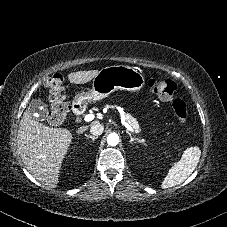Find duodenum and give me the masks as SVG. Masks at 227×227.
I'll list each match as a JSON object with an SVG mask.
<instances>
[{
	"instance_id": "1",
	"label": "duodenum",
	"mask_w": 227,
	"mask_h": 227,
	"mask_svg": "<svg viewBox=\"0 0 227 227\" xmlns=\"http://www.w3.org/2000/svg\"><path fill=\"white\" fill-rule=\"evenodd\" d=\"M73 110L76 114L81 115L84 111V108L81 104L76 103L73 105Z\"/></svg>"
}]
</instances>
